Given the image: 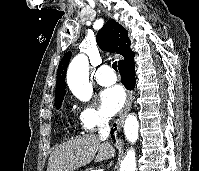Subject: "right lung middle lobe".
<instances>
[{
  "label": "right lung middle lobe",
  "instance_id": "right-lung-middle-lobe-1",
  "mask_svg": "<svg viewBox=\"0 0 199 171\" xmlns=\"http://www.w3.org/2000/svg\"><path fill=\"white\" fill-rule=\"evenodd\" d=\"M62 101H63V99H60V100H56V101H55V106H56V108H60V107H61Z\"/></svg>",
  "mask_w": 199,
  "mask_h": 171
}]
</instances>
